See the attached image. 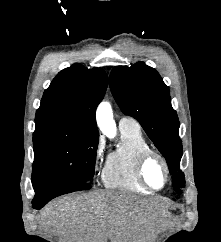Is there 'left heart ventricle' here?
Listing matches in <instances>:
<instances>
[{
	"label": "left heart ventricle",
	"mask_w": 221,
	"mask_h": 242,
	"mask_svg": "<svg viewBox=\"0 0 221 242\" xmlns=\"http://www.w3.org/2000/svg\"><path fill=\"white\" fill-rule=\"evenodd\" d=\"M145 175L150 185L154 188H160L165 183V171L158 159H151L147 163Z\"/></svg>",
	"instance_id": "1"
}]
</instances>
